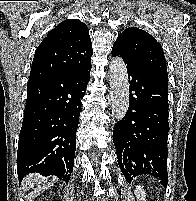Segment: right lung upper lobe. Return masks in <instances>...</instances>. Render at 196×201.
Segmentation results:
<instances>
[{
    "mask_svg": "<svg viewBox=\"0 0 196 201\" xmlns=\"http://www.w3.org/2000/svg\"><path fill=\"white\" fill-rule=\"evenodd\" d=\"M93 55L88 27L68 19L51 30L38 46L29 80L75 72L91 65Z\"/></svg>",
    "mask_w": 196,
    "mask_h": 201,
    "instance_id": "right-lung-upper-lobe-1",
    "label": "right lung upper lobe"
}]
</instances>
